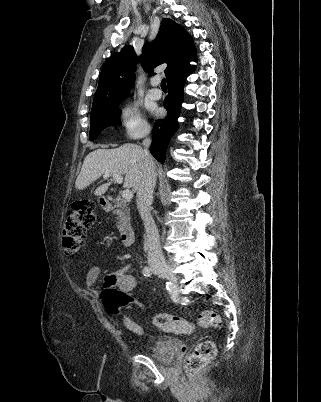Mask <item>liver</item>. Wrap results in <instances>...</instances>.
Returning a JSON list of instances; mask_svg holds the SVG:
<instances>
[{
    "label": "liver",
    "mask_w": 321,
    "mask_h": 402,
    "mask_svg": "<svg viewBox=\"0 0 321 402\" xmlns=\"http://www.w3.org/2000/svg\"><path fill=\"white\" fill-rule=\"evenodd\" d=\"M143 170V149L140 146L127 143L113 149L99 148L85 157L75 186L76 189L83 190L106 173L125 174L123 186L136 192L142 180ZM109 186L110 183L101 185L94 194L103 195Z\"/></svg>",
    "instance_id": "liver-1"
}]
</instances>
